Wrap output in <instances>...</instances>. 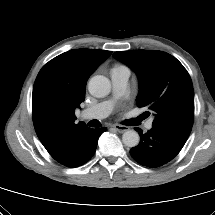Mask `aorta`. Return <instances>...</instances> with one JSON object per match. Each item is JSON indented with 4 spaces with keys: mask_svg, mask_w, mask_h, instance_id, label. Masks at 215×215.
I'll use <instances>...</instances> for the list:
<instances>
[{
    "mask_svg": "<svg viewBox=\"0 0 215 215\" xmlns=\"http://www.w3.org/2000/svg\"><path fill=\"white\" fill-rule=\"evenodd\" d=\"M89 93L97 98L107 96L111 91L110 80L102 75L92 77L88 83ZM123 143L128 147H135L139 144L140 137L135 130H127L122 135Z\"/></svg>",
    "mask_w": 215,
    "mask_h": 215,
    "instance_id": "aorta-1",
    "label": "aorta"
}]
</instances>
